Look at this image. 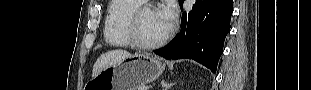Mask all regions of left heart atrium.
I'll return each mask as SVG.
<instances>
[{
    "label": "left heart atrium",
    "mask_w": 311,
    "mask_h": 90,
    "mask_svg": "<svg viewBox=\"0 0 311 90\" xmlns=\"http://www.w3.org/2000/svg\"><path fill=\"white\" fill-rule=\"evenodd\" d=\"M160 18L168 29H171L176 20V11L172 5L166 6L158 11Z\"/></svg>",
    "instance_id": "obj_1"
}]
</instances>
